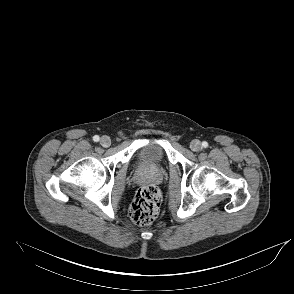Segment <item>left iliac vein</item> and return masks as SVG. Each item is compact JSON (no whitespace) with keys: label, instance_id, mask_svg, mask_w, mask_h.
I'll return each mask as SVG.
<instances>
[{"label":"left iliac vein","instance_id":"1","mask_svg":"<svg viewBox=\"0 0 294 294\" xmlns=\"http://www.w3.org/2000/svg\"><path fill=\"white\" fill-rule=\"evenodd\" d=\"M190 148H191L192 151L198 152L201 149V143H200V141L199 140H193L190 143Z\"/></svg>","mask_w":294,"mask_h":294}]
</instances>
